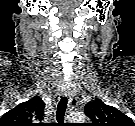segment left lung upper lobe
<instances>
[{
	"label": "left lung upper lobe",
	"instance_id": "1",
	"mask_svg": "<svg viewBox=\"0 0 135 126\" xmlns=\"http://www.w3.org/2000/svg\"><path fill=\"white\" fill-rule=\"evenodd\" d=\"M84 112L91 119V126H135L128 116L98 98L87 103Z\"/></svg>",
	"mask_w": 135,
	"mask_h": 126
}]
</instances>
